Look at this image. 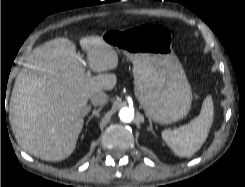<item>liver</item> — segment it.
<instances>
[{
  "label": "liver",
  "instance_id": "1",
  "mask_svg": "<svg viewBox=\"0 0 245 187\" xmlns=\"http://www.w3.org/2000/svg\"><path fill=\"white\" fill-rule=\"evenodd\" d=\"M80 46L97 76L85 72L75 43L55 38L36 47L16 77L10 125L21 148L42 160L60 161L73 153L90 96L116 85L115 74L101 73L117 68L115 48L100 36L83 37Z\"/></svg>",
  "mask_w": 245,
  "mask_h": 187
}]
</instances>
